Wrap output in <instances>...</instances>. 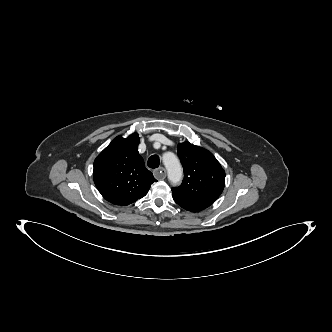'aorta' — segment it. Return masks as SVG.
I'll list each match as a JSON object with an SVG mask.
<instances>
[{"label": "aorta", "mask_w": 332, "mask_h": 332, "mask_svg": "<svg viewBox=\"0 0 332 332\" xmlns=\"http://www.w3.org/2000/svg\"><path fill=\"white\" fill-rule=\"evenodd\" d=\"M162 160L168 172V179L173 184L179 183L182 180L183 170L177 156L172 152H166Z\"/></svg>", "instance_id": "1"}]
</instances>
